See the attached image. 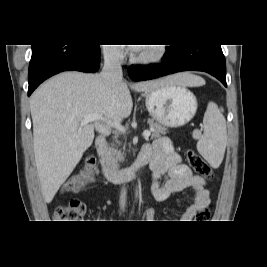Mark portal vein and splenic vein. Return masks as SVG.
<instances>
[{"label":"portal vein and splenic vein","mask_w":267,"mask_h":267,"mask_svg":"<svg viewBox=\"0 0 267 267\" xmlns=\"http://www.w3.org/2000/svg\"><path fill=\"white\" fill-rule=\"evenodd\" d=\"M97 120H105L102 115L99 114H89V115H85L81 121V125H85L89 122H93V121H97ZM108 124H111L112 126H114L117 130H119L120 132H125V128L117 122H109L107 120H105ZM151 135V132L146 130L143 132V136L145 138H148Z\"/></svg>","instance_id":"18ae733b"}]
</instances>
